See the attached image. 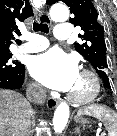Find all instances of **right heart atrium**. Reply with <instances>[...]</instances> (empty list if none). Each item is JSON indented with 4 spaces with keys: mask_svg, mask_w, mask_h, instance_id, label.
<instances>
[{
    "mask_svg": "<svg viewBox=\"0 0 117 136\" xmlns=\"http://www.w3.org/2000/svg\"><path fill=\"white\" fill-rule=\"evenodd\" d=\"M29 92L33 96H40L43 93L42 88L40 87V85L35 83V82H31L29 84Z\"/></svg>",
    "mask_w": 117,
    "mask_h": 136,
    "instance_id": "obj_1",
    "label": "right heart atrium"
}]
</instances>
